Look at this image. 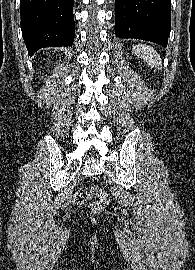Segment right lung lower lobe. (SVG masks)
<instances>
[{
	"instance_id": "1",
	"label": "right lung lower lobe",
	"mask_w": 195,
	"mask_h": 270,
	"mask_svg": "<svg viewBox=\"0 0 195 270\" xmlns=\"http://www.w3.org/2000/svg\"><path fill=\"white\" fill-rule=\"evenodd\" d=\"M74 0H20L21 30L29 55L73 43Z\"/></svg>"
}]
</instances>
